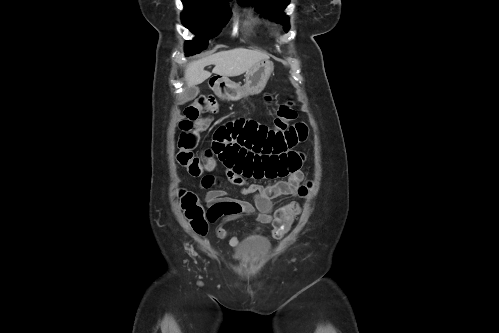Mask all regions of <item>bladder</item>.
Segmentation results:
<instances>
[{
    "label": "bladder",
    "mask_w": 499,
    "mask_h": 333,
    "mask_svg": "<svg viewBox=\"0 0 499 333\" xmlns=\"http://www.w3.org/2000/svg\"><path fill=\"white\" fill-rule=\"evenodd\" d=\"M271 242L267 237L256 236L235 248V254L241 258L261 260L269 252Z\"/></svg>",
    "instance_id": "bladder-1"
}]
</instances>
